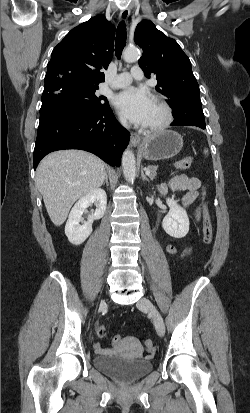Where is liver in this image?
I'll return each instance as SVG.
<instances>
[{
  "mask_svg": "<svg viewBox=\"0 0 250 413\" xmlns=\"http://www.w3.org/2000/svg\"><path fill=\"white\" fill-rule=\"evenodd\" d=\"M105 174L104 162L86 151L61 150L43 158L36 180L53 224L62 225L74 202L98 189Z\"/></svg>",
  "mask_w": 250,
  "mask_h": 413,
  "instance_id": "liver-1",
  "label": "liver"
}]
</instances>
